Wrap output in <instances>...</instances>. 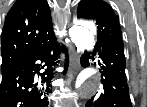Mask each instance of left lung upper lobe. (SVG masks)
<instances>
[{"mask_svg": "<svg viewBox=\"0 0 147 107\" xmlns=\"http://www.w3.org/2000/svg\"><path fill=\"white\" fill-rule=\"evenodd\" d=\"M77 17L96 21L97 47L122 40L119 19L112 8L102 0H81L77 8Z\"/></svg>", "mask_w": 147, "mask_h": 107, "instance_id": "5c2ea615", "label": "left lung upper lobe"}]
</instances>
